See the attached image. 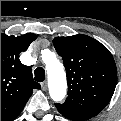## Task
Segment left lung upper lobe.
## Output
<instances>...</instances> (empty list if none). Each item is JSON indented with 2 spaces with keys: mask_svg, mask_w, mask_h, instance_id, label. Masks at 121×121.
Returning <instances> with one entry per match:
<instances>
[{
  "mask_svg": "<svg viewBox=\"0 0 121 121\" xmlns=\"http://www.w3.org/2000/svg\"><path fill=\"white\" fill-rule=\"evenodd\" d=\"M63 58L68 80V97L55 104L65 117L83 121L97 115L110 101L117 83V69L109 50L86 35L53 40Z\"/></svg>",
  "mask_w": 121,
  "mask_h": 121,
  "instance_id": "1",
  "label": "left lung upper lobe"
}]
</instances>
